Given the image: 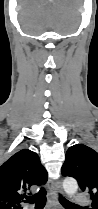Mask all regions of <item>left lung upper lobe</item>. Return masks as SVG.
Wrapping results in <instances>:
<instances>
[{
  "label": "left lung upper lobe",
  "mask_w": 98,
  "mask_h": 209,
  "mask_svg": "<svg viewBox=\"0 0 98 209\" xmlns=\"http://www.w3.org/2000/svg\"><path fill=\"white\" fill-rule=\"evenodd\" d=\"M61 171L78 181L81 190L90 194L91 209H98V152L83 144L73 145Z\"/></svg>",
  "instance_id": "5c2ea615"
}]
</instances>
